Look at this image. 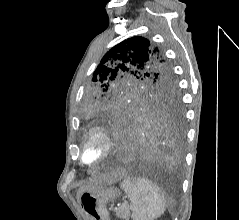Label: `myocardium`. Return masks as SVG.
<instances>
[{
  "label": "myocardium",
  "mask_w": 239,
  "mask_h": 220,
  "mask_svg": "<svg viewBox=\"0 0 239 220\" xmlns=\"http://www.w3.org/2000/svg\"><path fill=\"white\" fill-rule=\"evenodd\" d=\"M93 140H98L100 142L101 152L96 159L88 161L84 157V152L88 144ZM113 147L114 142L110 132L103 126L100 125L93 126L86 132V134L83 137L79 160L85 165L89 166L95 165L103 161L105 158H107L112 152Z\"/></svg>",
  "instance_id": "f54148a6"
}]
</instances>
